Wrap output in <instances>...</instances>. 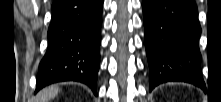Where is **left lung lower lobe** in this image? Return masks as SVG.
<instances>
[{"label": "left lung lower lobe", "instance_id": "left-lung-lower-lobe-1", "mask_svg": "<svg viewBox=\"0 0 221 102\" xmlns=\"http://www.w3.org/2000/svg\"><path fill=\"white\" fill-rule=\"evenodd\" d=\"M150 91L167 81L205 87L201 75V26L194 0H143Z\"/></svg>", "mask_w": 221, "mask_h": 102}]
</instances>
